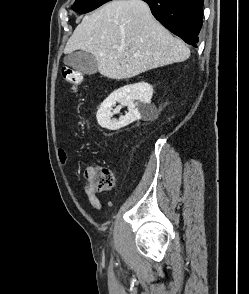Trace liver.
I'll list each match as a JSON object with an SVG mask.
<instances>
[{
	"mask_svg": "<svg viewBox=\"0 0 249 294\" xmlns=\"http://www.w3.org/2000/svg\"><path fill=\"white\" fill-rule=\"evenodd\" d=\"M76 50L91 53L99 73L117 80L183 62L190 56L184 42L157 22L142 0H113L86 15L64 53Z\"/></svg>",
	"mask_w": 249,
	"mask_h": 294,
	"instance_id": "1",
	"label": "liver"
}]
</instances>
